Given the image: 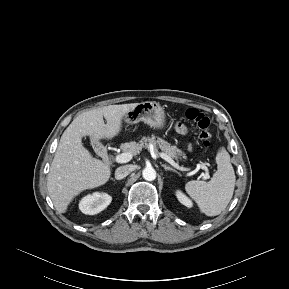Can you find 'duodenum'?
<instances>
[{"label": "duodenum", "mask_w": 289, "mask_h": 289, "mask_svg": "<svg viewBox=\"0 0 289 289\" xmlns=\"http://www.w3.org/2000/svg\"><path fill=\"white\" fill-rule=\"evenodd\" d=\"M100 154H101L103 160H104L106 163H108V161H109L108 153H107L104 149H101V150H100Z\"/></svg>", "instance_id": "duodenum-1"}]
</instances>
